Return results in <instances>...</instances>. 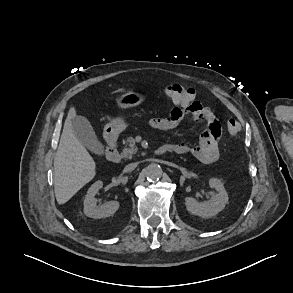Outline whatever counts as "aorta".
Returning a JSON list of instances; mask_svg holds the SVG:
<instances>
[{"mask_svg":"<svg viewBox=\"0 0 293 293\" xmlns=\"http://www.w3.org/2000/svg\"><path fill=\"white\" fill-rule=\"evenodd\" d=\"M162 168L158 164H150L145 168V176L150 181L158 180L162 176Z\"/></svg>","mask_w":293,"mask_h":293,"instance_id":"obj_1","label":"aorta"}]
</instances>
